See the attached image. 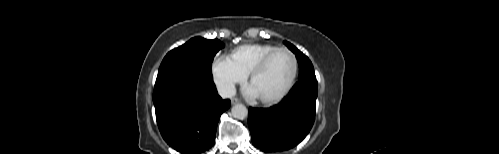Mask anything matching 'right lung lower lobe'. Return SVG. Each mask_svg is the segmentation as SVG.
<instances>
[{"label": "right lung lower lobe", "mask_w": 499, "mask_h": 154, "mask_svg": "<svg viewBox=\"0 0 499 154\" xmlns=\"http://www.w3.org/2000/svg\"><path fill=\"white\" fill-rule=\"evenodd\" d=\"M153 102L163 139L183 154L211 148L220 116L230 107V100L218 95L212 74L204 70L175 72L156 80Z\"/></svg>", "instance_id": "obj_1"}]
</instances>
